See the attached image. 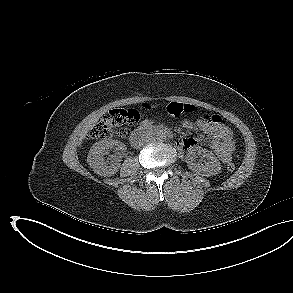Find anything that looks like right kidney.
<instances>
[{
  "instance_id": "1",
  "label": "right kidney",
  "mask_w": 293,
  "mask_h": 293,
  "mask_svg": "<svg viewBox=\"0 0 293 293\" xmlns=\"http://www.w3.org/2000/svg\"><path fill=\"white\" fill-rule=\"evenodd\" d=\"M116 147L118 150H123L125 145L117 140L104 139L96 142L90 149L87 157V162L93 171L100 176H112L118 172L120 163L118 160H105V154L108 149Z\"/></svg>"
}]
</instances>
